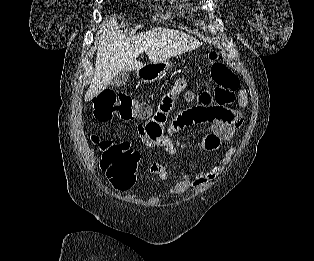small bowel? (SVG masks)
Returning <instances> with one entry per match:
<instances>
[{"mask_svg": "<svg viewBox=\"0 0 314 261\" xmlns=\"http://www.w3.org/2000/svg\"><path fill=\"white\" fill-rule=\"evenodd\" d=\"M186 86L184 78L177 79L172 89L161 100L154 118L148 123L137 126V132L146 146L159 145L160 148H164L161 157L150 165L149 173L162 182L169 195L183 194L189 189L203 188L224 172L233 157V151L228 149L222 154L220 165H212L194 175L174 164L165 162L164 158L183 147L180 143L173 141L174 136H181L180 127L187 131L190 127H196V124H208L209 132L199 139L196 146L206 151L216 152L224 143L234 138L236 130L243 123L240 111L233 108L234 98L222 105H199L192 109H182L181 113H177V116L169 120L168 126H164L177 97ZM237 101L240 107L246 105L247 95L244 91L239 92ZM171 170L175 171L176 176L172 175Z\"/></svg>", "mask_w": 314, "mask_h": 261, "instance_id": "obj_1", "label": "small bowel"}]
</instances>
